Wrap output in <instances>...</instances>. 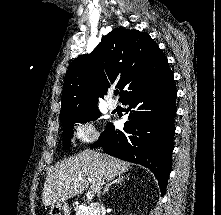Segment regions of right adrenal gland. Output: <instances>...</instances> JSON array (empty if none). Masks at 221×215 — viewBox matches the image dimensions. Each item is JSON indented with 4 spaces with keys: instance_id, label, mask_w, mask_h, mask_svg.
<instances>
[{
    "instance_id": "1",
    "label": "right adrenal gland",
    "mask_w": 221,
    "mask_h": 215,
    "mask_svg": "<svg viewBox=\"0 0 221 215\" xmlns=\"http://www.w3.org/2000/svg\"><path fill=\"white\" fill-rule=\"evenodd\" d=\"M125 179H126L125 176H118L116 179H113L112 181L108 182V184L104 189L103 194H106L113 185L122 183Z\"/></svg>"
}]
</instances>
